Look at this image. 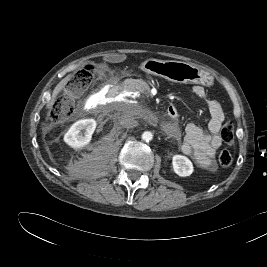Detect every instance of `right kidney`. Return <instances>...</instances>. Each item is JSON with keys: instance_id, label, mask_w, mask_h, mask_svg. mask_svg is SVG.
<instances>
[{"instance_id": "ca27d5eb", "label": "right kidney", "mask_w": 267, "mask_h": 267, "mask_svg": "<svg viewBox=\"0 0 267 267\" xmlns=\"http://www.w3.org/2000/svg\"><path fill=\"white\" fill-rule=\"evenodd\" d=\"M97 123L94 119H82L75 122L64 135V141L73 148L84 147L90 143ZM84 130V135L81 131Z\"/></svg>"}]
</instances>
